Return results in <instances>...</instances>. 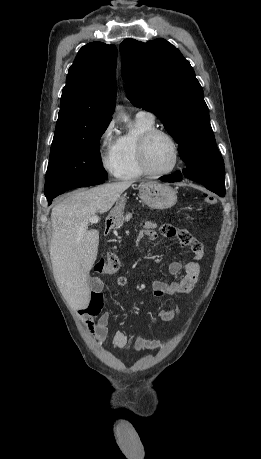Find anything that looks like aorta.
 <instances>
[{"label": "aorta", "mask_w": 261, "mask_h": 459, "mask_svg": "<svg viewBox=\"0 0 261 459\" xmlns=\"http://www.w3.org/2000/svg\"><path fill=\"white\" fill-rule=\"evenodd\" d=\"M121 117H122V119H123L124 121H127V119H128L124 114H121Z\"/></svg>", "instance_id": "obj_1"}]
</instances>
